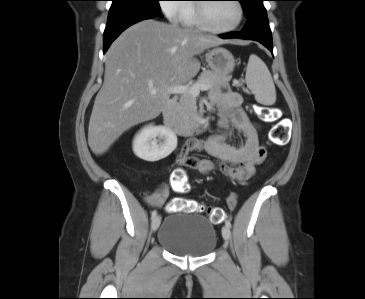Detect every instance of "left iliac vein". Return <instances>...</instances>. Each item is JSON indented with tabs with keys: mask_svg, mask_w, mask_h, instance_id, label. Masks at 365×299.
Returning <instances> with one entry per match:
<instances>
[{
	"mask_svg": "<svg viewBox=\"0 0 365 299\" xmlns=\"http://www.w3.org/2000/svg\"><path fill=\"white\" fill-rule=\"evenodd\" d=\"M222 236H223V238L226 240V241H228L229 239H230V236H231V231H230V227H228V226H224L223 228H222Z\"/></svg>",
	"mask_w": 365,
	"mask_h": 299,
	"instance_id": "1",
	"label": "left iliac vein"
}]
</instances>
